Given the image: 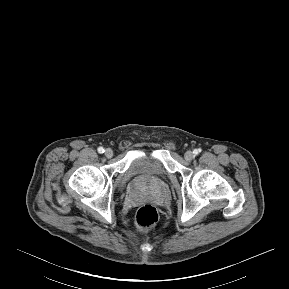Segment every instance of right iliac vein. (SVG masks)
I'll return each instance as SVG.
<instances>
[{
    "instance_id": "right-iliac-vein-1",
    "label": "right iliac vein",
    "mask_w": 289,
    "mask_h": 289,
    "mask_svg": "<svg viewBox=\"0 0 289 289\" xmlns=\"http://www.w3.org/2000/svg\"><path fill=\"white\" fill-rule=\"evenodd\" d=\"M105 156H106L107 158H111V157L113 156V151H112V149L107 148V149L105 150Z\"/></svg>"
}]
</instances>
